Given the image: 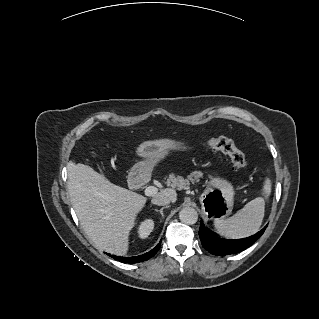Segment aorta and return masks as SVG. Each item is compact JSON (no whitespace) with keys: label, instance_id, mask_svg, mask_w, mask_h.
I'll return each instance as SVG.
<instances>
[{"label":"aorta","instance_id":"obj_1","mask_svg":"<svg viewBox=\"0 0 319 319\" xmlns=\"http://www.w3.org/2000/svg\"><path fill=\"white\" fill-rule=\"evenodd\" d=\"M179 219L182 223L193 225L198 220V214L192 207H184L179 212Z\"/></svg>","mask_w":319,"mask_h":319}]
</instances>
